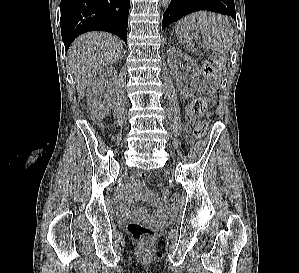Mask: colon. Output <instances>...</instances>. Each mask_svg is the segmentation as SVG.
Segmentation results:
<instances>
[{
  "mask_svg": "<svg viewBox=\"0 0 299 273\" xmlns=\"http://www.w3.org/2000/svg\"><path fill=\"white\" fill-rule=\"evenodd\" d=\"M219 63L214 59H208L203 65V75L210 84L205 87L202 93L194 98L187 107V115L194 122V134L196 137H204L209 131V124L199 119L204 115L208 102L211 99L213 86L218 79ZM182 203L180 194H174L171 197V204L174 210H177ZM127 231L132 239L138 242H148L155 236V230L146 224L131 222L127 226Z\"/></svg>",
  "mask_w": 299,
  "mask_h": 273,
  "instance_id": "5ec220e1",
  "label": "colon"
}]
</instances>
